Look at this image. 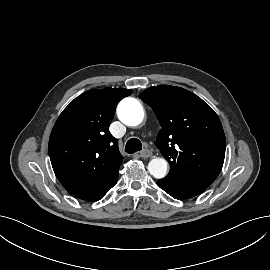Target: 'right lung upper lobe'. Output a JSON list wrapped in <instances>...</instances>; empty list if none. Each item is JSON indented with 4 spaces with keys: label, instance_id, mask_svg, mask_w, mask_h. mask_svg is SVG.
Here are the masks:
<instances>
[{
    "label": "right lung upper lobe",
    "instance_id": "obj_1",
    "mask_svg": "<svg viewBox=\"0 0 270 270\" xmlns=\"http://www.w3.org/2000/svg\"><path fill=\"white\" fill-rule=\"evenodd\" d=\"M124 88L91 89L75 98L58 117L49 139L54 173L70 193L97 188L113 180L123 157L108 131Z\"/></svg>",
    "mask_w": 270,
    "mask_h": 270
}]
</instances>
